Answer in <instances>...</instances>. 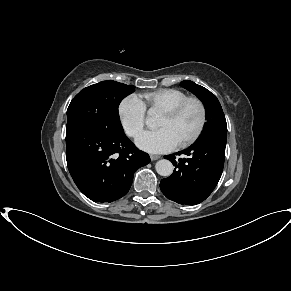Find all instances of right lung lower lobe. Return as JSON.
Instances as JSON below:
<instances>
[{
    "mask_svg": "<svg viewBox=\"0 0 291 291\" xmlns=\"http://www.w3.org/2000/svg\"><path fill=\"white\" fill-rule=\"evenodd\" d=\"M66 160L79 190L95 202H112L131 187L134 172L150 157L125 136L123 129L95 131L66 126Z\"/></svg>",
    "mask_w": 291,
    "mask_h": 291,
    "instance_id": "right-lung-lower-lobe-1",
    "label": "right lung lower lobe"
}]
</instances>
